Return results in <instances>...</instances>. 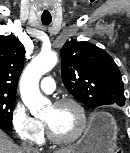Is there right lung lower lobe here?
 Wrapping results in <instances>:
<instances>
[{
    "label": "right lung lower lobe",
    "mask_w": 130,
    "mask_h": 153,
    "mask_svg": "<svg viewBox=\"0 0 130 153\" xmlns=\"http://www.w3.org/2000/svg\"><path fill=\"white\" fill-rule=\"evenodd\" d=\"M0 129H2V130H6V129H4L3 127H0Z\"/></svg>",
    "instance_id": "1"
}]
</instances>
